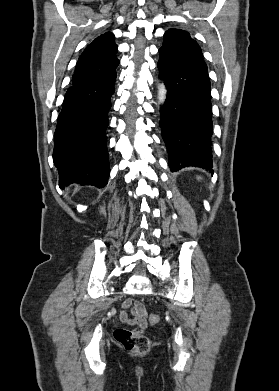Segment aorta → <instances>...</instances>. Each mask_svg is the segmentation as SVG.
<instances>
[{
    "label": "aorta",
    "instance_id": "obj_1",
    "mask_svg": "<svg viewBox=\"0 0 279 391\" xmlns=\"http://www.w3.org/2000/svg\"><path fill=\"white\" fill-rule=\"evenodd\" d=\"M166 87L163 83L159 84V89H158V98H159V103L163 104L166 99Z\"/></svg>",
    "mask_w": 279,
    "mask_h": 391
}]
</instances>
